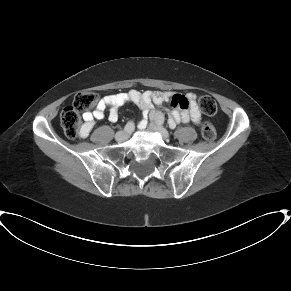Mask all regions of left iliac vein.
<instances>
[{"label": "left iliac vein", "mask_w": 291, "mask_h": 291, "mask_svg": "<svg viewBox=\"0 0 291 291\" xmlns=\"http://www.w3.org/2000/svg\"><path fill=\"white\" fill-rule=\"evenodd\" d=\"M149 127L151 130L157 131L164 139L169 138V133L167 132V130L165 128H163L162 126H160L159 124L151 122L149 124Z\"/></svg>", "instance_id": "left-iliac-vein-1"}]
</instances>
